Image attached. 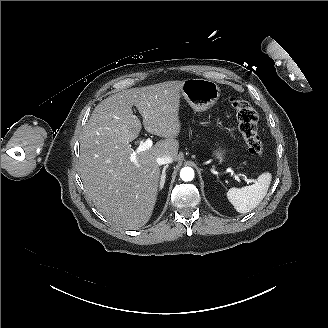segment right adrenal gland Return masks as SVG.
Here are the masks:
<instances>
[{"instance_id": "2a0ac1e0", "label": "right adrenal gland", "mask_w": 328, "mask_h": 328, "mask_svg": "<svg viewBox=\"0 0 328 328\" xmlns=\"http://www.w3.org/2000/svg\"><path fill=\"white\" fill-rule=\"evenodd\" d=\"M167 167H168V165L164 166V168H163V172H162V176H161V180H160V186H159L160 190L163 189L164 184H165V177H166L165 170Z\"/></svg>"}]
</instances>
